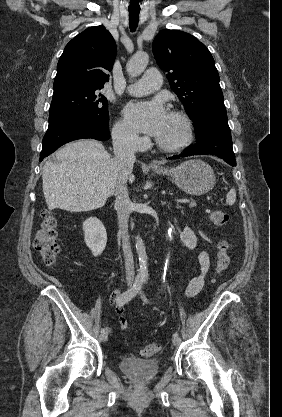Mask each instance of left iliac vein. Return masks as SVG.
Segmentation results:
<instances>
[{
    "instance_id": "obj_1",
    "label": "left iliac vein",
    "mask_w": 282,
    "mask_h": 417,
    "mask_svg": "<svg viewBox=\"0 0 282 417\" xmlns=\"http://www.w3.org/2000/svg\"><path fill=\"white\" fill-rule=\"evenodd\" d=\"M172 343H173L175 346H179V345H180V343H181V339H180V337H179V336H177V337H173V338H172Z\"/></svg>"
}]
</instances>
